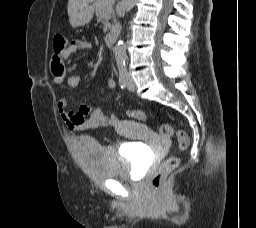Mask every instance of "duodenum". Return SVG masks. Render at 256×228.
<instances>
[{"instance_id": "1", "label": "duodenum", "mask_w": 256, "mask_h": 228, "mask_svg": "<svg viewBox=\"0 0 256 228\" xmlns=\"http://www.w3.org/2000/svg\"><path fill=\"white\" fill-rule=\"evenodd\" d=\"M119 35V29L118 28H114L112 29L110 32L107 33V35L105 36V44L107 47H112Z\"/></svg>"}]
</instances>
